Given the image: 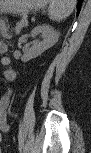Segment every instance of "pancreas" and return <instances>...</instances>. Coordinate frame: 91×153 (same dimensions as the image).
I'll use <instances>...</instances> for the list:
<instances>
[{
    "label": "pancreas",
    "mask_w": 91,
    "mask_h": 153,
    "mask_svg": "<svg viewBox=\"0 0 91 153\" xmlns=\"http://www.w3.org/2000/svg\"><path fill=\"white\" fill-rule=\"evenodd\" d=\"M26 24H27V14H25L24 17L22 18V20L17 23L15 32L19 33L21 28L24 27Z\"/></svg>",
    "instance_id": "cf45deb5"
}]
</instances>
